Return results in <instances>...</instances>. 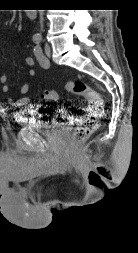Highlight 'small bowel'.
<instances>
[{
	"label": "small bowel",
	"mask_w": 138,
	"mask_h": 253,
	"mask_svg": "<svg viewBox=\"0 0 138 253\" xmlns=\"http://www.w3.org/2000/svg\"><path fill=\"white\" fill-rule=\"evenodd\" d=\"M25 62L29 67H33L35 64V61L32 57H27ZM28 74H29V77L32 78L36 75V72L34 69H30ZM0 83L2 84L3 92H9L10 87L8 84V78L6 74L4 73L0 74ZM29 88H30V84L28 82L24 83L20 88L19 97L18 98L11 97L9 99L10 103L16 107H24V106L29 105V98L25 96L26 93L29 91Z\"/></svg>",
	"instance_id": "c3829d8e"
}]
</instances>
